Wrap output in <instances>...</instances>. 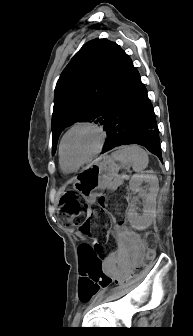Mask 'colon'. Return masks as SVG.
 <instances>
[{
  "label": "colon",
  "mask_w": 193,
  "mask_h": 336,
  "mask_svg": "<svg viewBox=\"0 0 193 336\" xmlns=\"http://www.w3.org/2000/svg\"><path fill=\"white\" fill-rule=\"evenodd\" d=\"M60 208L65 215L67 226L77 225L82 235L94 237L89 247L80 249L81 271L87 273V281L94 286L106 287L112 283V278L107 275L103 267V259L107 250L115 246V238L108 233V226L113 215H121L125 211L122 203L109 201L106 197L98 198L93 207H87L77 194L66 192L60 200ZM85 216L84 219L82 217ZM147 258L152 259L156 253V241L152 234L146 238ZM133 272L129 277L122 278L119 283L126 284L136 278ZM84 298L87 293L82 291Z\"/></svg>",
  "instance_id": "5ec220e1"
}]
</instances>
